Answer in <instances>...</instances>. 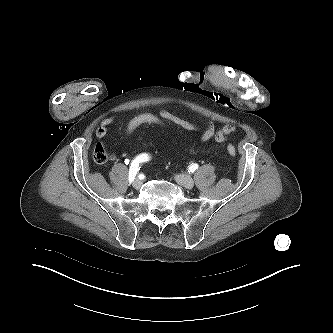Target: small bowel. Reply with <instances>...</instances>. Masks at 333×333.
Instances as JSON below:
<instances>
[{"label": "small bowel", "instance_id": "obj_1", "mask_svg": "<svg viewBox=\"0 0 333 333\" xmlns=\"http://www.w3.org/2000/svg\"><path fill=\"white\" fill-rule=\"evenodd\" d=\"M160 115L168 122L173 123L174 125L179 126L188 131H195L200 128V126L197 123L181 118L176 114L167 110H162L160 112ZM116 120H117L116 116H109L104 118L100 126L96 130V137L98 139H103L107 134L108 126L113 124ZM203 129L204 132L201 138V141L203 143H208L210 141H215L217 143H225L227 142V136L236 131V127L231 124H227L220 129H216V125L214 121L211 119H207L204 121Z\"/></svg>", "mask_w": 333, "mask_h": 333}]
</instances>
